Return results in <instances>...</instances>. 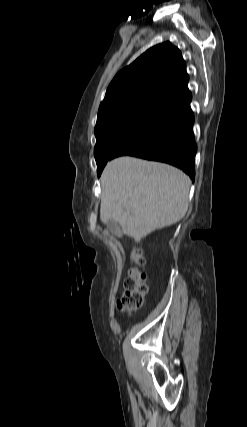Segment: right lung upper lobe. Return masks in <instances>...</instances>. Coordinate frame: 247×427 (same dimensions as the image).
<instances>
[{
    "label": "right lung upper lobe",
    "mask_w": 247,
    "mask_h": 427,
    "mask_svg": "<svg viewBox=\"0 0 247 427\" xmlns=\"http://www.w3.org/2000/svg\"><path fill=\"white\" fill-rule=\"evenodd\" d=\"M188 81L180 50L170 42L158 44L116 74L100 104L98 117L132 107L156 109L188 90Z\"/></svg>",
    "instance_id": "1"
}]
</instances>
